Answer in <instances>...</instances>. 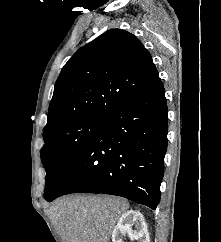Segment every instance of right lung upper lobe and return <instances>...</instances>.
Segmentation results:
<instances>
[{
    "label": "right lung upper lobe",
    "instance_id": "right-lung-upper-lobe-1",
    "mask_svg": "<svg viewBox=\"0 0 221 242\" xmlns=\"http://www.w3.org/2000/svg\"><path fill=\"white\" fill-rule=\"evenodd\" d=\"M159 77L139 39L111 29L81 47L63 67L43 133L82 118H104Z\"/></svg>",
    "mask_w": 221,
    "mask_h": 242
}]
</instances>
